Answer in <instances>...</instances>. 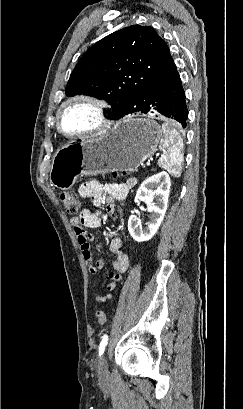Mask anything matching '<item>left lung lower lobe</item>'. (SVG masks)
I'll list each match as a JSON object with an SVG mask.
<instances>
[{"label": "left lung lower lobe", "mask_w": 243, "mask_h": 409, "mask_svg": "<svg viewBox=\"0 0 243 409\" xmlns=\"http://www.w3.org/2000/svg\"><path fill=\"white\" fill-rule=\"evenodd\" d=\"M136 112L159 113L180 122L183 128L186 127L188 110L186 107L185 93L175 65L152 81L138 97L133 100L129 109L121 114L123 117Z\"/></svg>", "instance_id": "1"}]
</instances>
